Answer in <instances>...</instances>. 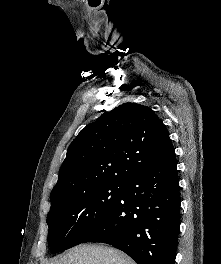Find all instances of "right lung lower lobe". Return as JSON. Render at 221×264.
<instances>
[{
  "instance_id": "98d812e1",
  "label": "right lung lower lobe",
  "mask_w": 221,
  "mask_h": 264,
  "mask_svg": "<svg viewBox=\"0 0 221 264\" xmlns=\"http://www.w3.org/2000/svg\"><path fill=\"white\" fill-rule=\"evenodd\" d=\"M180 202L174 155L127 178L115 207L81 243L113 245L137 264H174Z\"/></svg>"
}]
</instances>
